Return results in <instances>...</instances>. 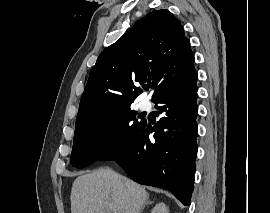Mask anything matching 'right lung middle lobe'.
I'll use <instances>...</instances> for the list:
<instances>
[{
    "mask_svg": "<svg viewBox=\"0 0 270 213\" xmlns=\"http://www.w3.org/2000/svg\"><path fill=\"white\" fill-rule=\"evenodd\" d=\"M130 105L121 106L75 124L71 164L77 168L101 160L119 143L134 133L144 120H137V112Z\"/></svg>",
    "mask_w": 270,
    "mask_h": 213,
    "instance_id": "right-lung-middle-lobe-1",
    "label": "right lung middle lobe"
}]
</instances>
